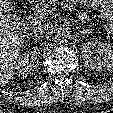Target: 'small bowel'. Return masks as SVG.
<instances>
[{"mask_svg":"<svg viewBox=\"0 0 113 113\" xmlns=\"http://www.w3.org/2000/svg\"><path fill=\"white\" fill-rule=\"evenodd\" d=\"M72 2H85L88 5L97 8L99 15L106 17V24L108 28L113 30V13L109 11V8H113V0H71ZM83 20H89V14L84 12L81 15Z\"/></svg>","mask_w":113,"mask_h":113,"instance_id":"small-bowel-1","label":"small bowel"}]
</instances>
